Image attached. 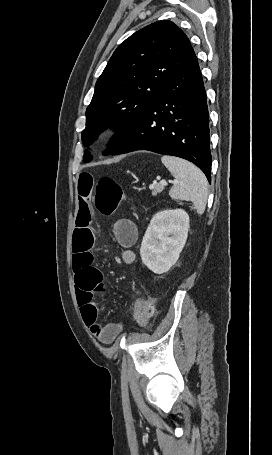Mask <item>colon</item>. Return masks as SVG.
Segmentation results:
<instances>
[{"label": "colon", "instance_id": "obj_1", "mask_svg": "<svg viewBox=\"0 0 272 455\" xmlns=\"http://www.w3.org/2000/svg\"><path fill=\"white\" fill-rule=\"evenodd\" d=\"M125 199L120 185L111 177H101L94 190V203L97 211L103 216H111L119 204ZM153 304L144 297H138L135 302L134 317L141 327H146L153 316Z\"/></svg>", "mask_w": 272, "mask_h": 455}]
</instances>
